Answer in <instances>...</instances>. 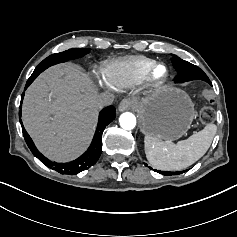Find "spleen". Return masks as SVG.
Returning a JSON list of instances; mask_svg holds the SVG:
<instances>
[{"label":"spleen","mask_w":237,"mask_h":237,"mask_svg":"<svg viewBox=\"0 0 237 237\" xmlns=\"http://www.w3.org/2000/svg\"><path fill=\"white\" fill-rule=\"evenodd\" d=\"M216 131L215 124H208L203 130L191 135L186 140L177 142V144L145 136L144 148L147 160L160 170L185 169L207 152Z\"/></svg>","instance_id":"spleen-1"}]
</instances>
